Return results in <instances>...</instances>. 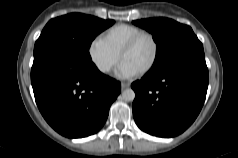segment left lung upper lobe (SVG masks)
I'll return each instance as SVG.
<instances>
[{"instance_id": "obj_1", "label": "left lung upper lobe", "mask_w": 238, "mask_h": 158, "mask_svg": "<svg viewBox=\"0 0 238 158\" xmlns=\"http://www.w3.org/2000/svg\"><path fill=\"white\" fill-rule=\"evenodd\" d=\"M146 29L157 44V52L151 70L188 50L203 48L191 27L168 18H149L133 21Z\"/></svg>"}]
</instances>
